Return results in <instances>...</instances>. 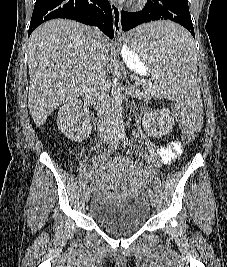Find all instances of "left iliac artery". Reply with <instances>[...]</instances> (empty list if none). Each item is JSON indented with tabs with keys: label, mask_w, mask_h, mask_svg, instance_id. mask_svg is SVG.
Wrapping results in <instances>:
<instances>
[{
	"label": "left iliac artery",
	"mask_w": 227,
	"mask_h": 267,
	"mask_svg": "<svg viewBox=\"0 0 227 267\" xmlns=\"http://www.w3.org/2000/svg\"><path fill=\"white\" fill-rule=\"evenodd\" d=\"M117 133H118L119 137L121 138V140L123 141L124 145H127V146L131 145L124 130H119Z\"/></svg>",
	"instance_id": "1"
}]
</instances>
